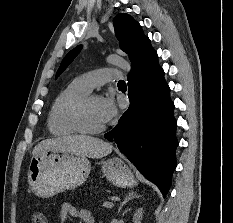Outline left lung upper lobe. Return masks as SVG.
<instances>
[{
  "label": "left lung upper lobe",
  "mask_w": 233,
  "mask_h": 223,
  "mask_svg": "<svg viewBox=\"0 0 233 223\" xmlns=\"http://www.w3.org/2000/svg\"><path fill=\"white\" fill-rule=\"evenodd\" d=\"M113 25L120 48L129 55L133 67L143 51L150 45V40L144 35L139 23L128 14H118L114 18ZM81 49L82 46L79 45L66 55L57 71L56 77L67 68Z\"/></svg>",
  "instance_id": "1"
}]
</instances>
